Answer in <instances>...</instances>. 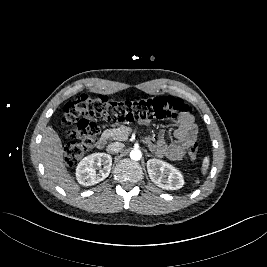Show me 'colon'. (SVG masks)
I'll list each match as a JSON object with an SVG mask.
<instances>
[{
  "mask_svg": "<svg viewBox=\"0 0 267 267\" xmlns=\"http://www.w3.org/2000/svg\"><path fill=\"white\" fill-rule=\"evenodd\" d=\"M189 106L173 96H140L127 99H111L106 95L81 94L64 107L63 122L68 127L71 141L64 146V161L76 164L94 147L99 132L95 119L108 121H149L177 118L189 113ZM199 145L194 142L189 148V157L196 160Z\"/></svg>",
  "mask_w": 267,
  "mask_h": 267,
  "instance_id": "1",
  "label": "colon"
}]
</instances>
